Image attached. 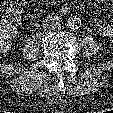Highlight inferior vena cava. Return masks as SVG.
I'll use <instances>...</instances> for the list:
<instances>
[{
	"label": "inferior vena cava",
	"instance_id": "602c4592",
	"mask_svg": "<svg viewBox=\"0 0 113 113\" xmlns=\"http://www.w3.org/2000/svg\"><path fill=\"white\" fill-rule=\"evenodd\" d=\"M61 20L56 15H49L43 21L44 29H57L60 27Z\"/></svg>",
	"mask_w": 113,
	"mask_h": 113
}]
</instances>
